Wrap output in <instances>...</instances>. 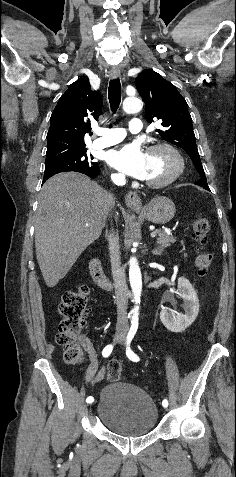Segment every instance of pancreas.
I'll list each match as a JSON object with an SVG mask.
<instances>
[{
  "mask_svg": "<svg viewBox=\"0 0 236 477\" xmlns=\"http://www.w3.org/2000/svg\"><path fill=\"white\" fill-rule=\"evenodd\" d=\"M155 232L158 235L157 243L160 244L162 248H166L176 242L175 237L168 235L164 231L156 230Z\"/></svg>",
  "mask_w": 236,
  "mask_h": 477,
  "instance_id": "cf45deb5",
  "label": "pancreas"
}]
</instances>
